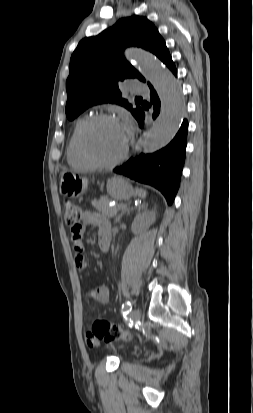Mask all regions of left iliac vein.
I'll list each match as a JSON object with an SVG mask.
<instances>
[{"label": "left iliac vein", "instance_id": "obj_1", "mask_svg": "<svg viewBox=\"0 0 253 413\" xmlns=\"http://www.w3.org/2000/svg\"><path fill=\"white\" fill-rule=\"evenodd\" d=\"M130 318L133 322L139 321L141 318V311L139 309H134L130 314Z\"/></svg>", "mask_w": 253, "mask_h": 413}]
</instances>
